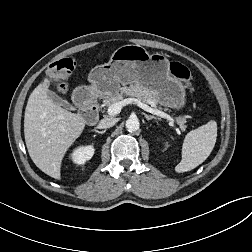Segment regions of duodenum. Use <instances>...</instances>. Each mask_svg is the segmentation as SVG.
I'll return each mask as SVG.
<instances>
[{"mask_svg": "<svg viewBox=\"0 0 252 252\" xmlns=\"http://www.w3.org/2000/svg\"><path fill=\"white\" fill-rule=\"evenodd\" d=\"M75 97L83 100L90 99V102L85 106L84 116L89 122L96 123L99 119L98 106L95 100L90 98L89 91L87 89H83L82 92L78 91Z\"/></svg>", "mask_w": 252, "mask_h": 252, "instance_id": "1", "label": "duodenum"}]
</instances>
